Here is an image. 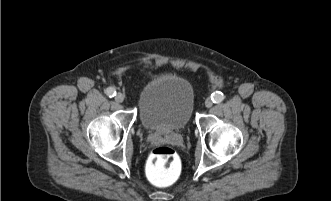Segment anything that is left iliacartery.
I'll list each match as a JSON object with an SVG mask.
<instances>
[{"label":"left iliac artery","mask_w":331,"mask_h":201,"mask_svg":"<svg viewBox=\"0 0 331 201\" xmlns=\"http://www.w3.org/2000/svg\"><path fill=\"white\" fill-rule=\"evenodd\" d=\"M211 99L214 103H220L224 99V95L222 92L216 91L211 95Z\"/></svg>","instance_id":"obj_1"}]
</instances>
